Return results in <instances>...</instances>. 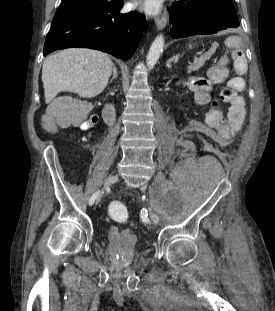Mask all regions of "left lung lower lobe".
Listing matches in <instances>:
<instances>
[{
    "label": "left lung lower lobe",
    "mask_w": 275,
    "mask_h": 311,
    "mask_svg": "<svg viewBox=\"0 0 275 311\" xmlns=\"http://www.w3.org/2000/svg\"><path fill=\"white\" fill-rule=\"evenodd\" d=\"M170 19L174 39L239 27L232 0H179L173 5Z\"/></svg>",
    "instance_id": "obj_1"
}]
</instances>
